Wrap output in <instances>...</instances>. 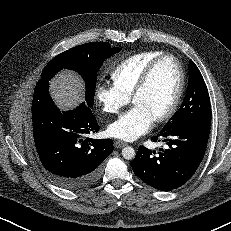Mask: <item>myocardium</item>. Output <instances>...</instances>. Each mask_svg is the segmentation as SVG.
I'll use <instances>...</instances> for the list:
<instances>
[{"instance_id": "myocardium-1", "label": "myocardium", "mask_w": 231, "mask_h": 231, "mask_svg": "<svg viewBox=\"0 0 231 231\" xmlns=\"http://www.w3.org/2000/svg\"><path fill=\"white\" fill-rule=\"evenodd\" d=\"M172 59L175 61L177 67H178V72H179V82H178V87L176 90V93L174 95V98L168 107V109L159 115L158 117L155 118L156 122H163L167 119H169L177 110L179 103L181 101L184 89H185V70L182 62L177 58L175 55L170 54V53H162L161 55L157 56L154 58L145 68L143 71L135 89L132 92L131 95V102L133 103L134 99L145 89L146 85L149 82V79L151 77V74L155 68V66L162 60L164 59Z\"/></svg>"}]
</instances>
